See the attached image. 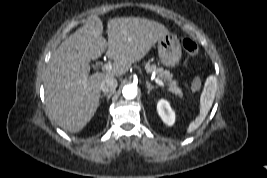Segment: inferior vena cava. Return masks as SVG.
<instances>
[{
    "label": "inferior vena cava",
    "instance_id": "1",
    "mask_svg": "<svg viewBox=\"0 0 267 178\" xmlns=\"http://www.w3.org/2000/svg\"><path fill=\"white\" fill-rule=\"evenodd\" d=\"M117 86V80L113 76H110L101 82L100 89L104 93H114Z\"/></svg>",
    "mask_w": 267,
    "mask_h": 178
}]
</instances>
